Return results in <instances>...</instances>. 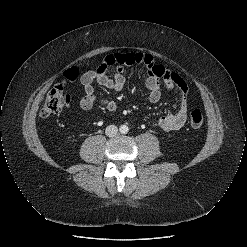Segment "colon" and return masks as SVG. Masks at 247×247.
<instances>
[{"mask_svg":"<svg viewBox=\"0 0 247 247\" xmlns=\"http://www.w3.org/2000/svg\"><path fill=\"white\" fill-rule=\"evenodd\" d=\"M77 76V69H70L66 75L69 80H75ZM71 101L72 97L66 92L64 85H56L48 92L40 115L44 118L57 115L69 107ZM203 122L204 118L202 112L200 110H193L190 114V125L193 128H199L203 125Z\"/></svg>","mask_w":247,"mask_h":247,"instance_id":"5ec220e1","label":"colon"}]
</instances>
